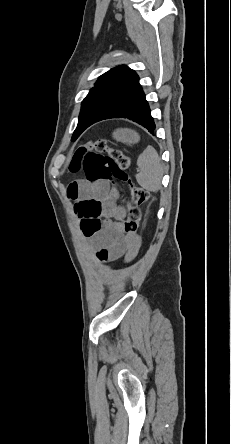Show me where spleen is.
Here are the masks:
<instances>
[{
    "mask_svg": "<svg viewBox=\"0 0 231 444\" xmlns=\"http://www.w3.org/2000/svg\"><path fill=\"white\" fill-rule=\"evenodd\" d=\"M137 166L139 172L136 174L138 184L144 189L157 192L161 188L163 167L157 151L148 146L138 157Z\"/></svg>",
    "mask_w": 231,
    "mask_h": 444,
    "instance_id": "1",
    "label": "spleen"
}]
</instances>
